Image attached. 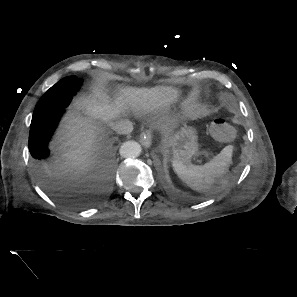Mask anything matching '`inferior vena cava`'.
Masks as SVG:
<instances>
[{"mask_svg": "<svg viewBox=\"0 0 297 297\" xmlns=\"http://www.w3.org/2000/svg\"><path fill=\"white\" fill-rule=\"evenodd\" d=\"M111 128L118 134L127 135L133 130V125L129 120H119L110 123Z\"/></svg>", "mask_w": 297, "mask_h": 297, "instance_id": "602c4592", "label": "inferior vena cava"}]
</instances>
